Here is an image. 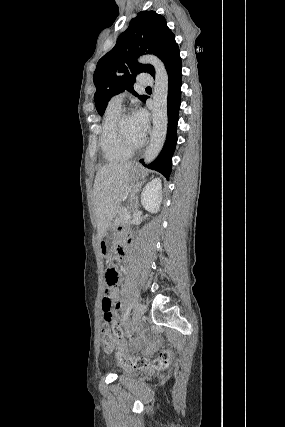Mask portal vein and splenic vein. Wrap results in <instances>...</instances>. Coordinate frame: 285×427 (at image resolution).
I'll list each match as a JSON object with an SVG mask.
<instances>
[{"label":"portal vein and splenic vein","mask_w":285,"mask_h":427,"mask_svg":"<svg viewBox=\"0 0 285 427\" xmlns=\"http://www.w3.org/2000/svg\"><path fill=\"white\" fill-rule=\"evenodd\" d=\"M131 216H130V214H128V213H126L124 216H123V218L124 219H129Z\"/></svg>","instance_id":"1"}]
</instances>
